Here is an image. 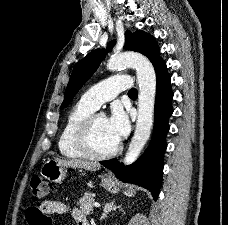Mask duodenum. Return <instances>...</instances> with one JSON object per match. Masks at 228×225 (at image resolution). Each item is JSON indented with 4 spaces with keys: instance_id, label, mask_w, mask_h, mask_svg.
<instances>
[{
    "instance_id": "obj_1",
    "label": "duodenum",
    "mask_w": 228,
    "mask_h": 225,
    "mask_svg": "<svg viewBox=\"0 0 228 225\" xmlns=\"http://www.w3.org/2000/svg\"><path fill=\"white\" fill-rule=\"evenodd\" d=\"M80 225H89V223L87 222V220L85 219V218H82L81 220H80V223H79Z\"/></svg>"
}]
</instances>
